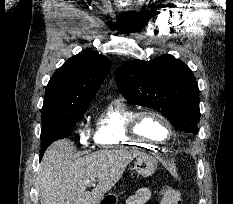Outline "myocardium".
<instances>
[{"label":"myocardium","instance_id":"1","mask_svg":"<svg viewBox=\"0 0 233 204\" xmlns=\"http://www.w3.org/2000/svg\"><path fill=\"white\" fill-rule=\"evenodd\" d=\"M147 115L154 116L160 119L166 125L168 130V135L164 140H154L152 138L143 135L139 131V122L144 116ZM127 131L131 137L150 144H165L168 141H170L174 135L173 125L170 122V120L163 113L152 108H144L139 111H135L129 120Z\"/></svg>","mask_w":233,"mask_h":204}]
</instances>
